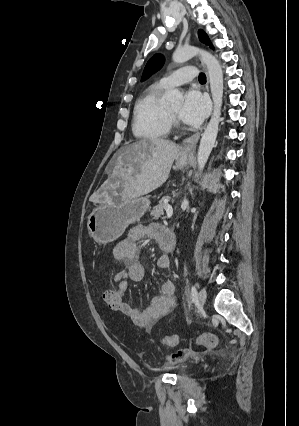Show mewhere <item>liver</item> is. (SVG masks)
Here are the masks:
<instances>
[{
	"instance_id": "liver-1",
	"label": "liver",
	"mask_w": 299,
	"mask_h": 426,
	"mask_svg": "<svg viewBox=\"0 0 299 426\" xmlns=\"http://www.w3.org/2000/svg\"><path fill=\"white\" fill-rule=\"evenodd\" d=\"M178 146L161 138L142 139L120 151L111 180L112 188L123 182V200L148 194L159 188L168 178Z\"/></svg>"
}]
</instances>
